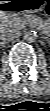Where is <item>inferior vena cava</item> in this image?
Segmentation results:
<instances>
[{"label": "inferior vena cava", "mask_w": 50, "mask_h": 111, "mask_svg": "<svg viewBox=\"0 0 50 111\" xmlns=\"http://www.w3.org/2000/svg\"><path fill=\"white\" fill-rule=\"evenodd\" d=\"M20 36V32L16 30H10L2 33L1 39L5 41H11L15 38H18Z\"/></svg>", "instance_id": "obj_1"}]
</instances>
